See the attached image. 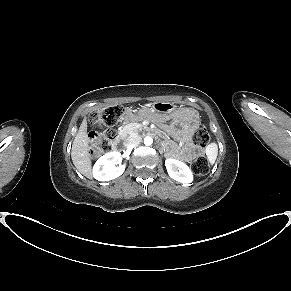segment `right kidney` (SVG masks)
I'll use <instances>...</instances> for the list:
<instances>
[{
  "instance_id": "obj_1",
  "label": "right kidney",
  "mask_w": 291,
  "mask_h": 291,
  "mask_svg": "<svg viewBox=\"0 0 291 291\" xmlns=\"http://www.w3.org/2000/svg\"><path fill=\"white\" fill-rule=\"evenodd\" d=\"M122 155L118 151L109 152L100 157L93 166V177L98 181H110L123 174L125 165H121ZM120 164L119 166H115Z\"/></svg>"
}]
</instances>
